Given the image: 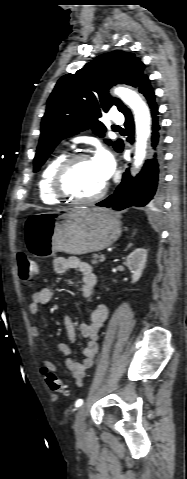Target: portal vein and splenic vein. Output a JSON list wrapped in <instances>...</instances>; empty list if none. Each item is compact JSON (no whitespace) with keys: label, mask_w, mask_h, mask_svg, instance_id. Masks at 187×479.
<instances>
[{"label":"portal vein and splenic vein","mask_w":187,"mask_h":479,"mask_svg":"<svg viewBox=\"0 0 187 479\" xmlns=\"http://www.w3.org/2000/svg\"><path fill=\"white\" fill-rule=\"evenodd\" d=\"M108 251H109V250H108ZM101 257H102V259H105V255H104V254H102Z\"/></svg>","instance_id":"1"}]
</instances>
